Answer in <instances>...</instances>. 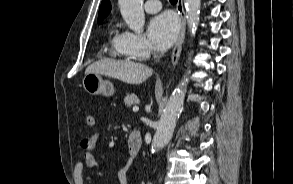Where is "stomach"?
I'll return each instance as SVG.
<instances>
[{
	"instance_id": "stomach-1",
	"label": "stomach",
	"mask_w": 293,
	"mask_h": 184,
	"mask_svg": "<svg viewBox=\"0 0 293 184\" xmlns=\"http://www.w3.org/2000/svg\"><path fill=\"white\" fill-rule=\"evenodd\" d=\"M83 87L91 95L111 96L115 92L113 84L109 80H104L102 75L97 73L86 74L83 78Z\"/></svg>"
}]
</instances>
